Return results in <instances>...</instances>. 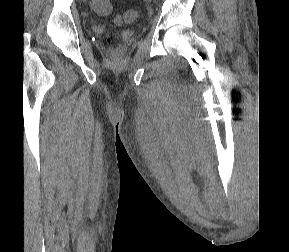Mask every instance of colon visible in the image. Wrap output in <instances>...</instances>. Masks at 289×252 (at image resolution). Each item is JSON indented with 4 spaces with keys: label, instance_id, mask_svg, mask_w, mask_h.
I'll return each instance as SVG.
<instances>
[{
    "label": "colon",
    "instance_id": "1",
    "mask_svg": "<svg viewBox=\"0 0 289 252\" xmlns=\"http://www.w3.org/2000/svg\"><path fill=\"white\" fill-rule=\"evenodd\" d=\"M93 7H94V10L101 15H107L112 10V5L109 0H94ZM137 16L138 15L136 11L127 10L124 13V20L126 22H132L137 19ZM105 40L113 56H117L119 52V45H120L118 36L115 33L109 31L106 33Z\"/></svg>",
    "mask_w": 289,
    "mask_h": 252
}]
</instances>
